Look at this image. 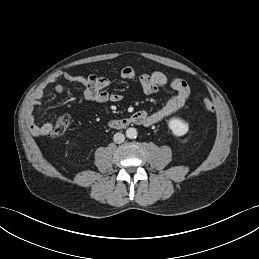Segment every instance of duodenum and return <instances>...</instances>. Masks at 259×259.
Wrapping results in <instances>:
<instances>
[{
    "mask_svg": "<svg viewBox=\"0 0 259 259\" xmlns=\"http://www.w3.org/2000/svg\"><path fill=\"white\" fill-rule=\"evenodd\" d=\"M135 122L136 121L134 117H128V118L113 120L110 122V126L113 128H124Z\"/></svg>",
    "mask_w": 259,
    "mask_h": 259,
    "instance_id": "410a0bca",
    "label": "duodenum"
}]
</instances>
